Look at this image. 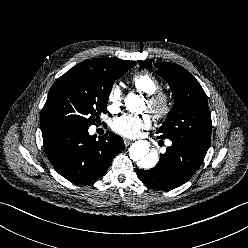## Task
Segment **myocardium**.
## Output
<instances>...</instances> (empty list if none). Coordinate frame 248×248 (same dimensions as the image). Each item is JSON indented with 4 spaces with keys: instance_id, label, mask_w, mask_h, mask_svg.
Masks as SVG:
<instances>
[{
    "instance_id": "obj_1",
    "label": "myocardium",
    "mask_w": 248,
    "mask_h": 248,
    "mask_svg": "<svg viewBox=\"0 0 248 248\" xmlns=\"http://www.w3.org/2000/svg\"><path fill=\"white\" fill-rule=\"evenodd\" d=\"M147 102L149 104V111L156 120L166 118L173 106L171 96L160 90L148 95Z\"/></svg>"
}]
</instances>
